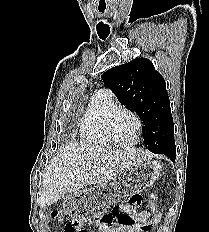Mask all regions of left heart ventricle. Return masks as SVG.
<instances>
[{"mask_svg":"<svg viewBox=\"0 0 209 232\" xmlns=\"http://www.w3.org/2000/svg\"><path fill=\"white\" fill-rule=\"evenodd\" d=\"M136 129L134 118L127 113L119 115L113 123V133L120 141L129 140Z\"/></svg>","mask_w":209,"mask_h":232,"instance_id":"1","label":"left heart ventricle"}]
</instances>
